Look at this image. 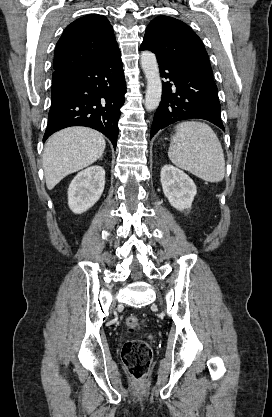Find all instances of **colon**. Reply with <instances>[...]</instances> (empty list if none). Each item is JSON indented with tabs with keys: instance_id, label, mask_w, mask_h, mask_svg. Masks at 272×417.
I'll use <instances>...</instances> for the list:
<instances>
[{
	"instance_id": "5ec220e1",
	"label": "colon",
	"mask_w": 272,
	"mask_h": 417,
	"mask_svg": "<svg viewBox=\"0 0 272 417\" xmlns=\"http://www.w3.org/2000/svg\"><path fill=\"white\" fill-rule=\"evenodd\" d=\"M143 326V320L135 315L126 319V327L130 332L139 330ZM122 362L127 372L135 379L141 380L147 373L152 351L143 340L132 339L125 342L122 347Z\"/></svg>"
}]
</instances>
